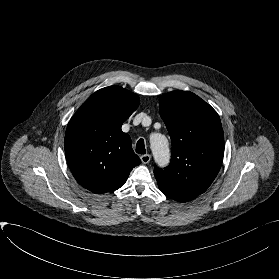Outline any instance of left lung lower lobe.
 <instances>
[{"mask_svg":"<svg viewBox=\"0 0 279 279\" xmlns=\"http://www.w3.org/2000/svg\"><path fill=\"white\" fill-rule=\"evenodd\" d=\"M160 190L167 197H169V198H171L173 200L179 201V202H187V201L192 200V198H190V197H186V196H183V195H179V194L173 193V192H171V191H169L167 189L160 188Z\"/></svg>","mask_w":279,"mask_h":279,"instance_id":"left-lung-lower-lobe-1","label":"left lung lower lobe"}]
</instances>
